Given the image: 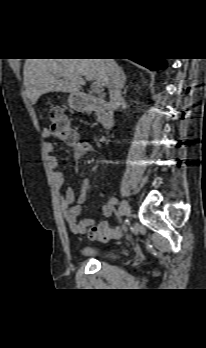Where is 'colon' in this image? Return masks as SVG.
<instances>
[{
	"label": "colon",
	"mask_w": 206,
	"mask_h": 348,
	"mask_svg": "<svg viewBox=\"0 0 206 348\" xmlns=\"http://www.w3.org/2000/svg\"><path fill=\"white\" fill-rule=\"evenodd\" d=\"M49 119L51 137L69 144H74L77 141V133L60 107L50 109ZM123 231V227L111 228L108 223L101 222L89 228L88 236L94 240L107 241L120 237Z\"/></svg>",
	"instance_id": "5ec220e1"
}]
</instances>
